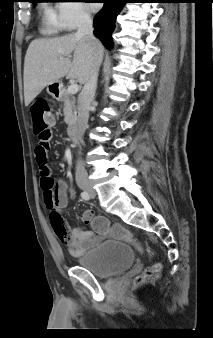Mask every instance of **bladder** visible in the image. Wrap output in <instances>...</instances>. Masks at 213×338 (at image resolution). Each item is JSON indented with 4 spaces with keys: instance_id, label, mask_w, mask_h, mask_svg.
<instances>
[{
    "instance_id": "31cf9c89",
    "label": "bladder",
    "mask_w": 213,
    "mask_h": 338,
    "mask_svg": "<svg viewBox=\"0 0 213 338\" xmlns=\"http://www.w3.org/2000/svg\"><path fill=\"white\" fill-rule=\"evenodd\" d=\"M77 261L96 278L108 279L129 268L134 263V254L127 243L100 242Z\"/></svg>"
}]
</instances>
